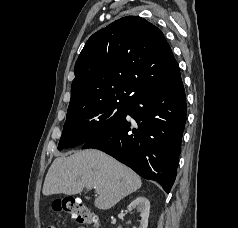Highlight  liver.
Here are the masks:
<instances>
[{
	"label": "liver",
	"mask_w": 238,
	"mask_h": 228,
	"mask_svg": "<svg viewBox=\"0 0 238 228\" xmlns=\"http://www.w3.org/2000/svg\"><path fill=\"white\" fill-rule=\"evenodd\" d=\"M142 185L140 177L130 168L96 149L75 152L56 158L50 166L42 192L75 195L85 187H96L95 206L107 210Z\"/></svg>",
	"instance_id": "obj_1"
}]
</instances>
